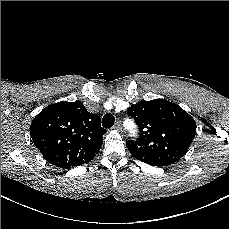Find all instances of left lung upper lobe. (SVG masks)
I'll return each mask as SVG.
<instances>
[{
    "mask_svg": "<svg viewBox=\"0 0 229 229\" xmlns=\"http://www.w3.org/2000/svg\"><path fill=\"white\" fill-rule=\"evenodd\" d=\"M140 137L126 143L138 160L153 166L177 162L188 151L196 134L195 120L177 104L163 99L142 100L128 108Z\"/></svg>",
    "mask_w": 229,
    "mask_h": 229,
    "instance_id": "1",
    "label": "left lung upper lobe"
}]
</instances>
